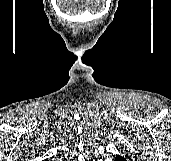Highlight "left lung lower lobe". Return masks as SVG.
<instances>
[{"instance_id": "0a47b994", "label": "left lung lower lobe", "mask_w": 171, "mask_h": 161, "mask_svg": "<svg viewBox=\"0 0 171 161\" xmlns=\"http://www.w3.org/2000/svg\"><path fill=\"white\" fill-rule=\"evenodd\" d=\"M114 161H126V158L121 157L120 155H116Z\"/></svg>"}]
</instances>
